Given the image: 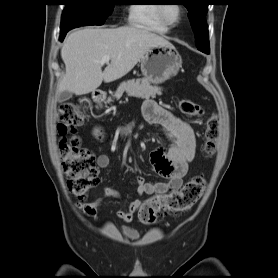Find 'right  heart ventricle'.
Wrapping results in <instances>:
<instances>
[{"label":"right heart ventricle","mask_w":278,"mask_h":278,"mask_svg":"<svg viewBox=\"0 0 278 278\" xmlns=\"http://www.w3.org/2000/svg\"><path fill=\"white\" fill-rule=\"evenodd\" d=\"M158 10V4H133L129 8V21L139 28L165 34L168 31V27L161 21Z\"/></svg>","instance_id":"obj_1"}]
</instances>
